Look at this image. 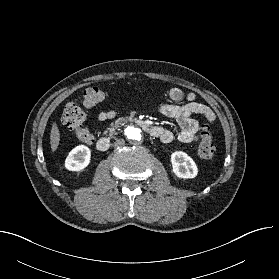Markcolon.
<instances>
[{
    "label": "colon",
    "mask_w": 279,
    "mask_h": 279,
    "mask_svg": "<svg viewBox=\"0 0 279 279\" xmlns=\"http://www.w3.org/2000/svg\"><path fill=\"white\" fill-rule=\"evenodd\" d=\"M107 94L104 90L98 87H90L82 93V104L84 107H93L105 100ZM63 125L73 131L81 142L91 143L93 136L90 131L84 126L85 113L82 107L75 103L69 102L65 105L62 117ZM215 154V145L213 137L208 126H205L201 132V140L198 147V155L200 158L209 160Z\"/></svg>",
    "instance_id": "5ec220e1"
}]
</instances>
